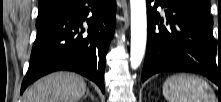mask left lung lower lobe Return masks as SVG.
Instances as JSON below:
<instances>
[{"mask_svg": "<svg viewBox=\"0 0 221 102\" xmlns=\"http://www.w3.org/2000/svg\"><path fill=\"white\" fill-rule=\"evenodd\" d=\"M154 4H151L153 3ZM165 9L166 28L157 8ZM213 20L193 0H147V47L142 82L158 72L200 73L221 87V61Z\"/></svg>", "mask_w": 221, "mask_h": 102, "instance_id": "1", "label": "left lung lower lobe"}]
</instances>
